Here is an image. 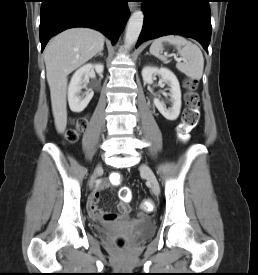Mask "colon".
I'll use <instances>...</instances> for the list:
<instances>
[{"label":"colon","mask_w":258,"mask_h":275,"mask_svg":"<svg viewBox=\"0 0 258 275\" xmlns=\"http://www.w3.org/2000/svg\"><path fill=\"white\" fill-rule=\"evenodd\" d=\"M185 103L186 108L183 112L182 123L179 126L178 133L182 140L187 139L191 130L197 125L199 120L200 98L196 92L197 82L193 79L185 81ZM87 119L79 117L74 120L73 127L66 131L65 138L68 142H75L79 138L80 133L86 128ZM122 175L115 173L111 176V182L114 185H119L122 182ZM120 198L128 201L131 197L129 188L123 187L120 190ZM153 209V202L149 198H145L140 203V210L143 212H150ZM120 247L126 245V241L122 238L117 240Z\"/></svg>","instance_id":"obj_1"}]
</instances>
